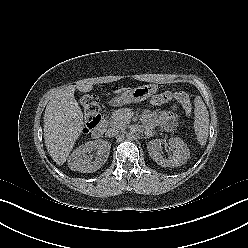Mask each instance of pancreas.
Here are the masks:
<instances>
[{
	"mask_svg": "<svg viewBox=\"0 0 248 248\" xmlns=\"http://www.w3.org/2000/svg\"><path fill=\"white\" fill-rule=\"evenodd\" d=\"M132 113V110L129 108H122L115 110L112 113V116L108 120V125L110 127H124L130 122L129 114Z\"/></svg>",
	"mask_w": 248,
	"mask_h": 248,
	"instance_id": "obj_1",
	"label": "pancreas"
}]
</instances>
